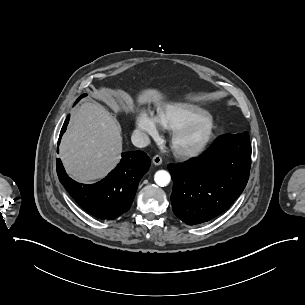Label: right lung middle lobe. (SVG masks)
<instances>
[{
	"instance_id": "obj_1",
	"label": "right lung middle lobe",
	"mask_w": 305,
	"mask_h": 305,
	"mask_svg": "<svg viewBox=\"0 0 305 305\" xmlns=\"http://www.w3.org/2000/svg\"><path fill=\"white\" fill-rule=\"evenodd\" d=\"M84 96H86V94L81 95V97H79V99H81V98L84 97ZM79 99H78V100H79Z\"/></svg>"
}]
</instances>
